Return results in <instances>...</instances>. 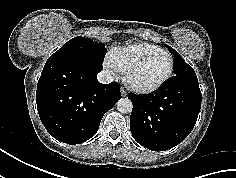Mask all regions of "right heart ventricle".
Masks as SVG:
<instances>
[{
    "instance_id": "obj_1",
    "label": "right heart ventricle",
    "mask_w": 236,
    "mask_h": 178,
    "mask_svg": "<svg viewBox=\"0 0 236 178\" xmlns=\"http://www.w3.org/2000/svg\"><path fill=\"white\" fill-rule=\"evenodd\" d=\"M162 48L149 43H134L128 46L117 47L109 55L110 63L117 71L124 73L127 68L138 59Z\"/></svg>"
}]
</instances>
